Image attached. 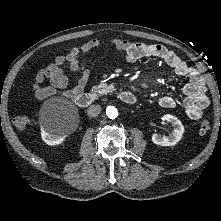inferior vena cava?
<instances>
[{"label": "inferior vena cava", "instance_id": "1", "mask_svg": "<svg viewBox=\"0 0 221 221\" xmlns=\"http://www.w3.org/2000/svg\"><path fill=\"white\" fill-rule=\"evenodd\" d=\"M101 111V107L99 105H91L87 110V115L89 117H96Z\"/></svg>", "mask_w": 221, "mask_h": 221}]
</instances>
